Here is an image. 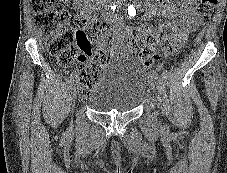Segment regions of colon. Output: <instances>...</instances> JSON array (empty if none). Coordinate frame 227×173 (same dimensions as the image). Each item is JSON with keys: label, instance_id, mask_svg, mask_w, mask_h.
<instances>
[{"label": "colon", "instance_id": "1", "mask_svg": "<svg viewBox=\"0 0 227 173\" xmlns=\"http://www.w3.org/2000/svg\"><path fill=\"white\" fill-rule=\"evenodd\" d=\"M64 0H32L35 23L48 51L60 66L69 67L79 62L78 86L83 95L94 88L100 71L106 63V53L100 49L94 53L92 43L112 33L109 24L101 20H89L74 16L62 8ZM217 0H200L199 13L208 20L214 13ZM162 35L146 39L134 38L131 47L139 60L152 66L160 59L158 49L165 44Z\"/></svg>", "mask_w": 227, "mask_h": 173}]
</instances>
